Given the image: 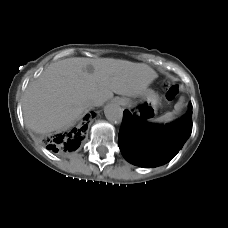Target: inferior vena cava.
I'll list each match as a JSON object with an SVG mask.
<instances>
[{"mask_svg":"<svg viewBox=\"0 0 228 228\" xmlns=\"http://www.w3.org/2000/svg\"><path fill=\"white\" fill-rule=\"evenodd\" d=\"M93 105L92 101H86L85 102V107L88 108V107H91Z\"/></svg>","mask_w":228,"mask_h":228,"instance_id":"inferior-vena-cava-1","label":"inferior vena cava"}]
</instances>
